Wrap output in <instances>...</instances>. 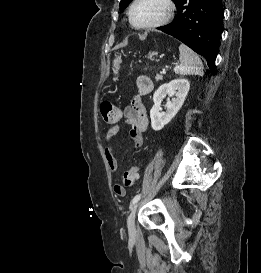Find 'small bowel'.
<instances>
[{"label":"small bowel","mask_w":261,"mask_h":273,"mask_svg":"<svg viewBox=\"0 0 261 273\" xmlns=\"http://www.w3.org/2000/svg\"><path fill=\"white\" fill-rule=\"evenodd\" d=\"M136 86L138 89L137 95H135L131 101V104L126 106L122 111L124 122L130 126V136L134 142L136 148H139L143 144V134L148 128V116L146 107L143 103V97L152 92L154 85L152 80L148 76H139L136 79ZM120 131V125L115 124L110 127L105 134V156L108 167L111 172H116L118 169V162L115 157L113 139ZM114 193L118 196H124L125 191L118 193L116 185L113 188Z\"/></svg>","instance_id":"1"}]
</instances>
